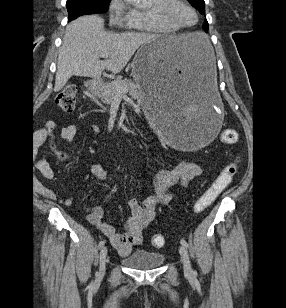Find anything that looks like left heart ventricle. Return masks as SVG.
I'll use <instances>...</instances> for the list:
<instances>
[{"mask_svg":"<svg viewBox=\"0 0 286 308\" xmlns=\"http://www.w3.org/2000/svg\"><path fill=\"white\" fill-rule=\"evenodd\" d=\"M174 16L183 25H191L196 20L195 14L182 4L174 6Z\"/></svg>","mask_w":286,"mask_h":308,"instance_id":"b2bd125f","label":"left heart ventricle"}]
</instances>
